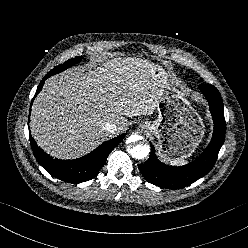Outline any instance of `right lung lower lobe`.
Returning <instances> with one entry per match:
<instances>
[{"mask_svg": "<svg viewBox=\"0 0 248 248\" xmlns=\"http://www.w3.org/2000/svg\"><path fill=\"white\" fill-rule=\"evenodd\" d=\"M51 75L54 74L49 72L42 79L34 98L41 91L45 80ZM124 137L125 134H122L106 141L91 153L74 160H59L50 157L36 145L31 135L30 143L37 161L49 174L64 182L77 184L93 179L105 163L110 152L124 139Z\"/></svg>", "mask_w": 248, "mask_h": 248, "instance_id": "1", "label": "right lung lower lobe"}]
</instances>
